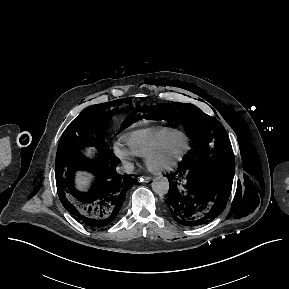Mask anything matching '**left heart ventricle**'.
<instances>
[{"mask_svg":"<svg viewBox=\"0 0 289 289\" xmlns=\"http://www.w3.org/2000/svg\"><path fill=\"white\" fill-rule=\"evenodd\" d=\"M183 148V142L181 140L173 141L166 149V151L156 159L157 165H163L167 163L172 157L180 153Z\"/></svg>","mask_w":289,"mask_h":289,"instance_id":"1","label":"left heart ventricle"}]
</instances>
